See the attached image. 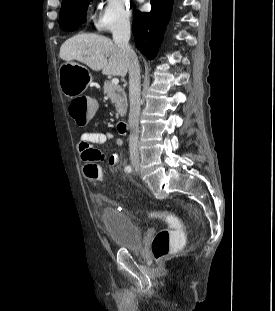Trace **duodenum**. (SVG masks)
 I'll list each match as a JSON object with an SVG mask.
<instances>
[{
    "label": "duodenum",
    "mask_w": 275,
    "mask_h": 311,
    "mask_svg": "<svg viewBox=\"0 0 275 311\" xmlns=\"http://www.w3.org/2000/svg\"><path fill=\"white\" fill-rule=\"evenodd\" d=\"M117 131L120 134H127L129 131V126L125 121H118L117 123Z\"/></svg>",
    "instance_id": "410a0bca"
}]
</instances>
